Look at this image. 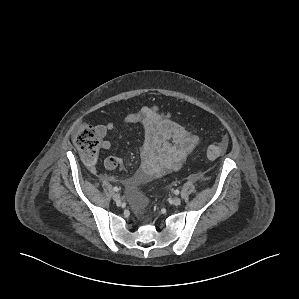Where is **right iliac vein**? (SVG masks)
Here are the masks:
<instances>
[{
  "instance_id": "right-iliac-vein-1",
  "label": "right iliac vein",
  "mask_w": 299,
  "mask_h": 299,
  "mask_svg": "<svg viewBox=\"0 0 299 299\" xmlns=\"http://www.w3.org/2000/svg\"><path fill=\"white\" fill-rule=\"evenodd\" d=\"M112 197H113V200L115 202H120L121 201V197L118 193H114Z\"/></svg>"
}]
</instances>
